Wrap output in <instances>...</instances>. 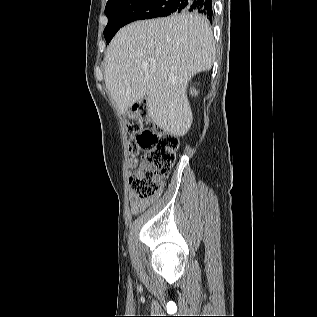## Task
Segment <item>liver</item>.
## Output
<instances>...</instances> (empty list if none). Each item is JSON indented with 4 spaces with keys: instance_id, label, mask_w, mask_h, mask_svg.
Listing matches in <instances>:
<instances>
[{
    "instance_id": "6515ba94",
    "label": "liver",
    "mask_w": 317,
    "mask_h": 317,
    "mask_svg": "<svg viewBox=\"0 0 317 317\" xmlns=\"http://www.w3.org/2000/svg\"><path fill=\"white\" fill-rule=\"evenodd\" d=\"M215 54L209 22L198 14L137 21L121 28L107 47L105 84L122 115L145 97L153 122L184 136L193 120L188 82L211 69Z\"/></svg>"
}]
</instances>
